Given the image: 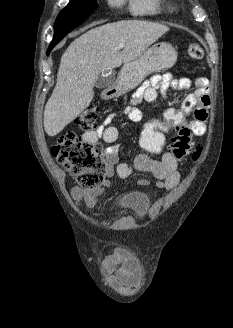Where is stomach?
<instances>
[{"label": "stomach", "instance_id": "0dacf381", "mask_svg": "<svg viewBox=\"0 0 233 328\" xmlns=\"http://www.w3.org/2000/svg\"><path fill=\"white\" fill-rule=\"evenodd\" d=\"M177 61V52L169 43H158L147 49L139 58L125 63L115 91L110 97L120 96L137 87L153 72L171 68Z\"/></svg>", "mask_w": 233, "mask_h": 328}]
</instances>
